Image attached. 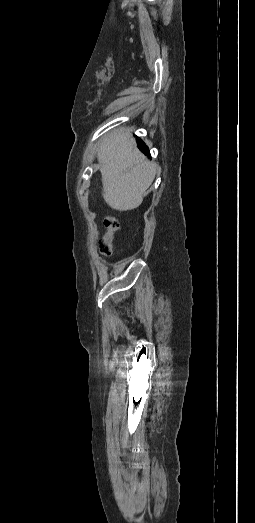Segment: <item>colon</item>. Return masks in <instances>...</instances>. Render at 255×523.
Wrapping results in <instances>:
<instances>
[{
  "label": "colon",
  "mask_w": 255,
  "mask_h": 523,
  "mask_svg": "<svg viewBox=\"0 0 255 523\" xmlns=\"http://www.w3.org/2000/svg\"><path fill=\"white\" fill-rule=\"evenodd\" d=\"M105 233L99 241V251L102 255L109 256L113 251L114 233L119 229V223L113 216H108L104 220Z\"/></svg>",
  "instance_id": "1"
}]
</instances>
